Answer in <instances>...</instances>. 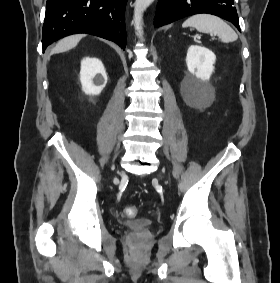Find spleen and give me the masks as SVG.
<instances>
[{"instance_id":"1","label":"spleen","mask_w":280,"mask_h":283,"mask_svg":"<svg viewBox=\"0 0 280 283\" xmlns=\"http://www.w3.org/2000/svg\"><path fill=\"white\" fill-rule=\"evenodd\" d=\"M182 27H192L203 33L215 34L223 43L238 39L237 33L226 22L210 14L193 15L184 21Z\"/></svg>"}]
</instances>
